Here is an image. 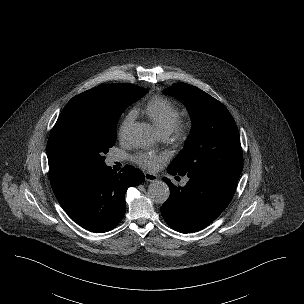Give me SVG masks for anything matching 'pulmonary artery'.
I'll return each mask as SVG.
<instances>
[{"mask_svg":"<svg viewBox=\"0 0 304 304\" xmlns=\"http://www.w3.org/2000/svg\"><path fill=\"white\" fill-rule=\"evenodd\" d=\"M114 160H118V159H117V158H114ZM186 182H187V179L184 180V183H186Z\"/></svg>","mask_w":304,"mask_h":304,"instance_id":"obj_1","label":"pulmonary artery"}]
</instances>
